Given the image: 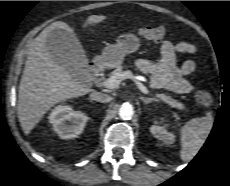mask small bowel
<instances>
[{"label": "small bowel", "instance_id": "1", "mask_svg": "<svg viewBox=\"0 0 230 186\" xmlns=\"http://www.w3.org/2000/svg\"><path fill=\"white\" fill-rule=\"evenodd\" d=\"M196 47L188 42L173 44L164 41L160 45L161 59L153 62L147 59L138 60L137 68L144 74L150 75V84L155 88H165L177 94H187L193 89L192 83L186 76L195 71L193 60H186L180 66L176 65L178 53L193 54Z\"/></svg>", "mask_w": 230, "mask_h": 186}]
</instances>
